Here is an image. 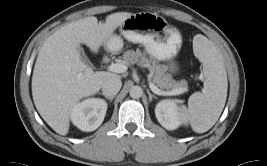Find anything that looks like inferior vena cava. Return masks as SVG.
<instances>
[{"label":"inferior vena cava","mask_w":267,"mask_h":166,"mask_svg":"<svg viewBox=\"0 0 267 166\" xmlns=\"http://www.w3.org/2000/svg\"><path fill=\"white\" fill-rule=\"evenodd\" d=\"M122 82L118 77H110L106 79L102 84V92L107 96H115L121 89Z\"/></svg>","instance_id":"inferior-vena-cava-1"}]
</instances>
